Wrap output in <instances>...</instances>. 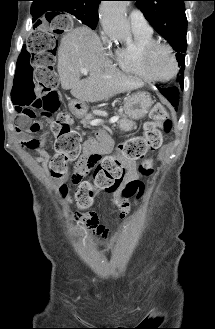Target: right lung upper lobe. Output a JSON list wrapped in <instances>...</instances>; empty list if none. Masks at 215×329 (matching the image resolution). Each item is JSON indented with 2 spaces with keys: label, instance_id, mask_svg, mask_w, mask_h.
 <instances>
[{
  "label": "right lung upper lobe",
  "instance_id": "right-lung-upper-lobe-1",
  "mask_svg": "<svg viewBox=\"0 0 215 329\" xmlns=\"http://www.w3.org/2000/svg\"><path fill=\"white\" fill-rule=\"evenodd\" d=\"M101 0H33L32 6H37V8L31 12L33 20H37L43 14L48 15V13L62 14L64 10L62 6L75 5L77 7H82L84 10V15L94 21H98V4Z\"/></svg>",
  "mask_w": 215,
  "mask_h": 329
}]
</instances>
